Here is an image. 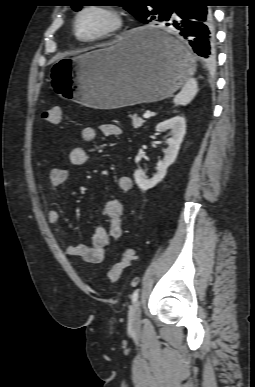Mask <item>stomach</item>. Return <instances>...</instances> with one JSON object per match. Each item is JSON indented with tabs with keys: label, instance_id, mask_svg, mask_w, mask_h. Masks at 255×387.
Wrapping results in <instances>:
<instances>
[{
	"label": "stomach",
	"instance_id": "obj_1",
	"mask_svg": "<svg viewBox=\"0 0 255 387\" xmlns=\"http://www.w3.org/2000/svg\"><path fill=\"white\" fill-rule=\"evenodd\" d=\"M145 26L119 37L107 47L57 61L50 71L52 86L62 99L87 107L114 109L163 100L175 93L194 72L186 47L168 37L184 56L168 58L142 40Z\"/></svg>",
	"mask_w": 255,
	"mask_h": 387
}]
</instances>
